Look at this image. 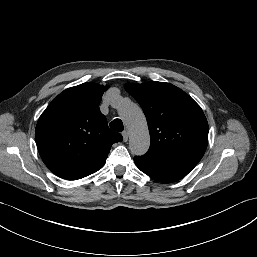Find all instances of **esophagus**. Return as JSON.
Listing matches in <instances>:
<instances>
[{"label":"esophagus","instance_id":"esophagus-1","mask_svg":"<svg viewBox=\"0 0 257 257\" xmlns=\"http://www.w3.org/2000/svg\"><path fill=\"white\" fill-rule=\"evenodd\" d=\"M122 136H123V141L127 142L128 141V132L127 131H123L122 132Z\"/></svg>","mask_w":257,"mask_h":257}]
</instances>
